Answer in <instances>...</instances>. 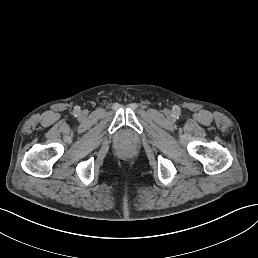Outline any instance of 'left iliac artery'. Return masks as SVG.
I'll return each instance as SVG.
<instances>
[{
	"label": "left iliac artery",
	"instance_id": "left-iliac-artery-1",
	"mask_svg": "<svg viewBox=\"0 0 258 258\" xmlns=\"http://www.w3.org/2000/svg\"><path fill=\"white\" fill-rule=\"evenodd\" d=\"M180 116H181V111H180V109L176 108V109L173 111L172 117H173L174 119H179Z\"/></svg>",
	"mask_w": 258,
	"mask_h": 258
}]
</instances>
